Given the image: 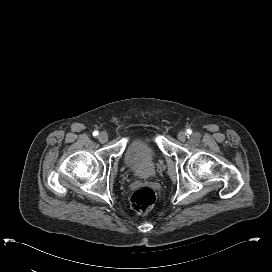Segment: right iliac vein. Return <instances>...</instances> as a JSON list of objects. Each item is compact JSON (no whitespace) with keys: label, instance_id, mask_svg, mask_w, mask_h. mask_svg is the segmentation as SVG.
<instances>
[{"label":"right iliac vein","instance_id":"63e3f726","mask_svg":"<svg viewBox=\"0 0 272 272\" xmlns=\"http://www.w3.org/2000/svg\"><path fill=\"white\" fill-rule=\"evenodd\" d=\"M98 140L101 142V143H105L107 142L108 140V135L106 132H101L99 135H98Z\"/></svg>","mask_w":272,"mask_h":272}]
</instances>
